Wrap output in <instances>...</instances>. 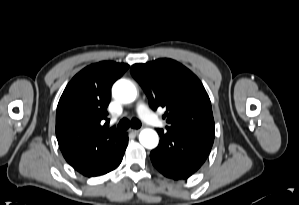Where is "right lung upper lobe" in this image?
I'll return each instance as SVG.
<instances>
[{"label":"right lung upper lobe","mask_w":299,"mask_h":205,"mask_svg":"<svg viewBox=\"0 0 299 205\" xmlns=\"http://www.w3.org/2000/svg\"><path fill=\"white\" fill-rule=\"evenodd\" d=\"M129 65L92 64L68 83L57 107L56 137L66 161L83 175L105 161L121 144L124 133L106 130L112 84Z\"/></svg>","instance_id":"obj_1"}]
</instances>
